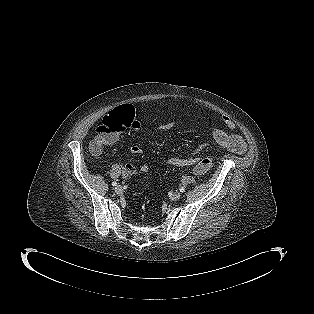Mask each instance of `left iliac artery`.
Returning a JSON list of instances; mask_svg holds the SVG:
<instances>
[{
	"label": "left iliac artery",
	"mask_w": 314,
	"mask_h": 314,
	"mask_svg": "<svg viewBox=\"0 0 314 314\" xmlns=\"http://www.w3.org/2000/svg\"><path fill=\"white\" fill-rule=\"evenodd\" d=\"M179 190H180V192H184V191H185V188H184V187H181Z\"/></svg>",
	"instance_id": "obj_1"
}]
</instances>
